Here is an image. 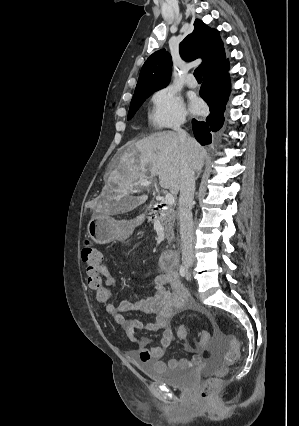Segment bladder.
<instances>
[{"label":"bladder","mask_w":299,"mask_h":426,"mask_svg":"<svg viewBox=\"0 0 299 426\" xmlns=\"http://www.w3.org/2000/svg\"><path fill=\"white\" fill-rule=\"evenodd\" d=\"M138 366L149 379L181 390L191 388L197 380L195 370L190 368L169 367L159 369L147 362H138Z\"/></svg>","instance_id":"1"}]
</instances>
